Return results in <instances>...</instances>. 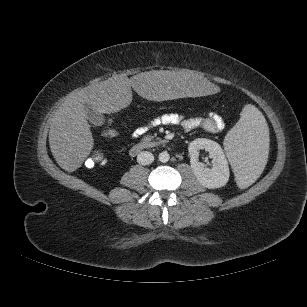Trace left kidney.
I'll list each match as a JSON object with an SVG mask.
<instances>
[{
	"label": "left kidney",
	"instance_id": "1",
	"mask_svg": "<svg viewBox=\"0 0 307 307\" xmlns=\"http://www.w3.org/2000/svg\"><path fill=\"white\" fill-rule=\"evenodd\" d=\"M204 149L212 158V167L207 168L198 160L199 150ZM192 171L199 182L209 189L220 188L229 180V166L221 146L210 139L198 138L188 147Z\"/></svg>",
	"mask_w": 307,
	"mask_h": 307
}]
</instances>
